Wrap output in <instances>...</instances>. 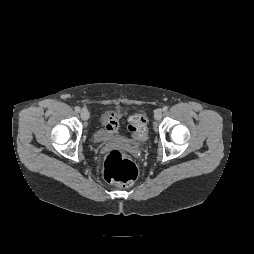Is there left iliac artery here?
Listing matches in <instances>:
<instances>
[{
  "label": "left iliac artery",
  "mask_w": 254,
  "mask_h": 254,
  "mask_svg": "<svg viewBox=\"0 0 254 254\" xmlns=\"http://www.w3.org/2000/svg\"><path fill=\"white\" fill-rule=\"evenodd\" d=\"M168 110V107L167 106H164L163 107V111L165 112V111H167Z\"/></svg>",
  "instance_id": "44dca946"
}]
</instances>
